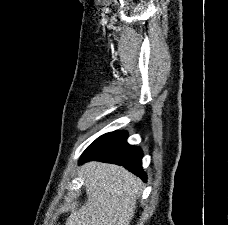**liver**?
Segmentation results:
<instances>
[{
	"label": "liver",
	"mask_w": 228,
	"mask_h": 225,
	"mask_svg": "<svg viewBox=\"0 0 228 225\" xmlns=\"http://www.w3.org/2000/svg\"><path fill=\"white\" fill-rule=\"evenodd\" d=\"M87 201L73 211L66 225H130L141 181L123 167L85 163L82 169Z\"/></svg>",
	"instance_id": "obj_1"
}]
</instances>
